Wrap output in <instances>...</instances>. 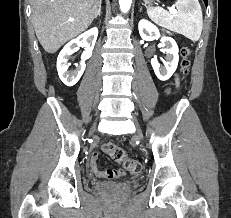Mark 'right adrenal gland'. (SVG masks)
Wrapping results in <instances>:
<instances>
[{
  "label": "right adrenal gland",
  "instance_id": "1",
  "mask_svg": "<svg viewBox=\"0 0 231 218\" xmlns=\"http://www.w3.org/2000/svg\"><path fill=\"white\" fill-rule=\"evenodd\" d=\"M101 15V3H100V5H99V9H98V12H97V14H96V16H95V19L98 17V16H100Z\"/></svg>",
  "mask_w": 231,
  "mask_h": 218
}]
</instances>
